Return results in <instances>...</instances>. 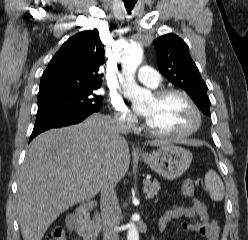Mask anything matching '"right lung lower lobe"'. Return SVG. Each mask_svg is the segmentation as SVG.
I'll list each match as a JSON object with an SVG mask.
<instances>
[{
	"instance_id": "right-lung-lower-lobe-1",
	"label": "right lung lower lobe",
	"mask_w": 248,
	"mask_h": 240,
	"mask_svg": "<svg viewBox=\"0 0 248 240\" xmlns=\"http://www.w3.org/2000/svg\"><path fill=\"white\" fill-rule=\"evenodd\" d=\"M94 112L91 111H68L63 109H42L38 110L33 132L30 141L51 128H58L81 122Z\"/></svg>"
}]
</instances>
